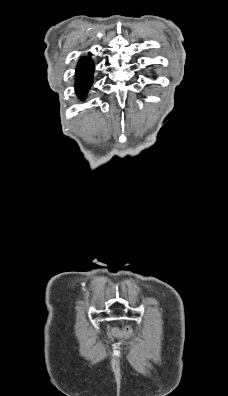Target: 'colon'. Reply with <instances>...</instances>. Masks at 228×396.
Listing matches in <instances>:
<instances>
[{
  "mask_svg": "<svg viewBox=\"0 0 228 396\" xmlns=\"http://www.w3.org/2000/svg\"><path fill=\"white\" fill-rule=\"evenodd\" d=\"M117 334L124 337H131L133 334V330L130 327H126L122 331L117 332Z\"/></svg>",
  "mask_w": 228,
  "mask_h": 396,
  "instance_id": "obj_1",
  "label": "colon"
}]
</instances>
